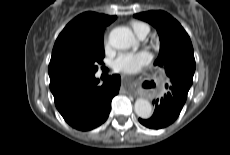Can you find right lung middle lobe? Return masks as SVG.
Here are the masks:
<instances>
[{"mask_svg":"<svg viewBox=\"0 0 230 155\" xmlns=\"http://www.w3.org/2000/svg\"><path fill=\"white\" fill-rule=\"evenodd\" d=\"M103 45L86 50H65L51 57L48 72L50 78L77 74H91L103 64Z\"/></svg>","mask_w":230,"mask_h":155,"instance_id":"obj_1","label":"right lung middle lobe"}]
</instances>
